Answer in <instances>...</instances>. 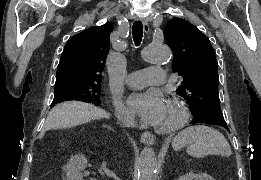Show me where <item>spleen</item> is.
Wrapping results in <instances>:
<instances>
[{
	"instance_id": "spleen-1",
	"label": "spleen",
	"mask_w": 261,
	"mask_h": 180,
	"mask_svg": "<svg viewBox=\"0 0 261 180\" xmlns=\"http://www.w3.org/2000/svg\"><path fill=\"white\" fill-rule=\"evenodd\" d=\"M182 148H187V154L192 158L205 156H231V148L223 134L209 126H190L185 128L176 138Z\"/></svg>"
}]
</instances>
